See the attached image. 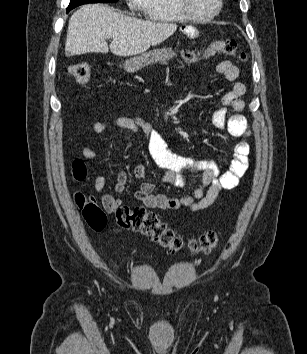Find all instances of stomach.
I'll use <instances>...</instances> for the list:
<instances>
[{"instance_id":"0dacf381","label":"stomach","mask_w":307,"mask_h":354,"mask_svg":"<svg viewBox=\"0 0 307 354\" xmlns=\"http://www.w3.org/2000/svg\"><path fill=\"white\" fill-rule=\"evenodd\" d=\"M175 56L171 49H155L126 60L123 64L127 72H136L148 65L169 61Z\"/></svg>"}]
</instances>
